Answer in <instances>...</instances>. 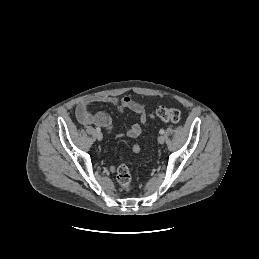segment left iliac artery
<instances>
[{
	"mask_svg": "<svg viewBox=\"0 0 259 259\" xmlns=\"http://www.w3.org/2000/svg\"><path fill=\"white\" fill-rule=\"evenodd\" d=\"M164 132H165L164 129H160L159 131L160 134H164Z\"/></svg>",
	"mask_w": 259,
	"mask_h": 259,
	"instance_id": "obj_1",
	"label": "left iliac artery"
}]
</instances>
